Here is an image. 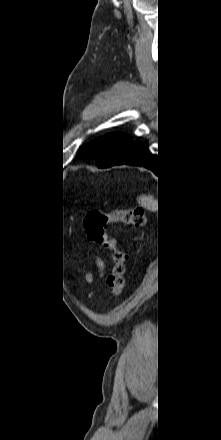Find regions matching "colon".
Here are the masks:
<instances>
[{
	"label": "colon",
	"instance_id": "colon-1",
	"mask_svg": "<svg viewBox=\"0 0 221 440\" xmlns=\"http://www.w3.org/2000/svg\"><path fill=\"white\" fill-rule=\"evenodd\" d=\"M116 221L141 227L144 224V213L138 209H127L115 213L88 214L83 222L88 238L112 253L113 266L108 278V286L113 296H117L123 291L125 262L127 260L119 242L109 236L106 231L107 224Z\"/></svg>",
	"mask_w": 221,
	"mask_h": 440
}]
</instances>
